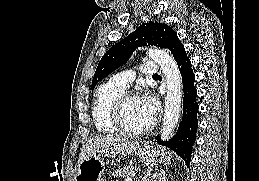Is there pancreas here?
<instances>
[{
  "label": "pancreas",
  "instance_id": "obj_1",
  "mask_svg": "<svg viewBox=\"0 0 259 181\" xmlns=\"http://www.w3.org/2000/svg\"><path fill=\"white\" fill-rule=\"evenodd\" d=\"M136 169H134L133 167H122L119 168L117 170H115L112 175L115 178H128L129 176H131L133 173H135Z\"/></svg>",
  "mask_w": 259,
  "mask_h": 181
}]
</instances>
